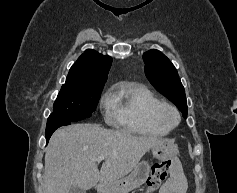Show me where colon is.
I'll list each match as a JSON object with an SVG mask.
<instances>
[{"label":"colon","mask_w":237,"mask_h":193,"mask_svg":"<svg viewBox=\"0 0 237 193\" xmlns=\"http://www.w3.org/2000/svg\"><path fill=\"white\" fill-rule=\"evenodd\" d=\"M172 168L171 162L156 163L152 167V174L147 181L146 192L156 190L167 178Z\"/></svg>","instance_id":"5ec220e1"}]
</instances>
